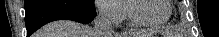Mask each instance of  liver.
<instances>
[{
  "mask_svg": "<svg viewBox=\"0 0 219 37\" xmlns=\"http://www.w3.org/2000/svg\"><path fill=\"white\" fill-rule=\"evenodd\" d=\"M35 35V37H96L89 26L68 20L47 24Z\"/></svg>",
  "mask_w": 219,
  "mask_h": 37,
  "instance_id": "liver-1",
  "label": "liver"
}]
</instances>
